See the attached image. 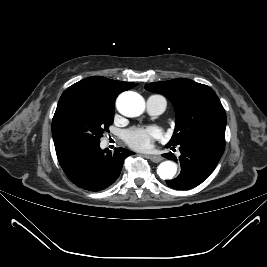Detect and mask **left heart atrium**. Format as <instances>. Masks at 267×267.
Segmentation results:
<instances>
[{"label":"left heart atrium","mask_w":267,"mask_h":267,"mask_svg":"<svg viewBox=\"0 0 267 267\" xmlns=\"http://www.w3.org/2000/svg\"><path fill=\"white\" fill-rule=\"evenodd\" d=\"M161 133L156 127L132 128L124 132L125 142L137 150H149L152 142L160 137Z\"/></svg>","instance_id":"obj_1"}]
</instances>
